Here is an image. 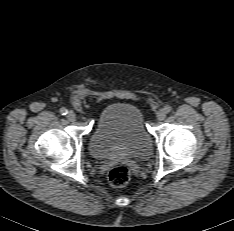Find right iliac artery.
<instances>
[{
    "mask_svg": "<svg viewBox=\"0 0 234 231\" xmlns=\"http://www.w3.org/2000/svg\"><path fill=\"white\" fill-rule=\"evenodd\" d=\"M60 113H61L62 115H66V114L68 113V111H67L66 108L62 107V108H60Z\"/></svg>",
    "mask_w": 234,
    "mask_h": 231,
    "instance_id": "82829eb1",
    "label": "right iliac artery"
}]
</instances>
